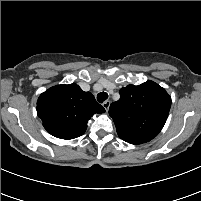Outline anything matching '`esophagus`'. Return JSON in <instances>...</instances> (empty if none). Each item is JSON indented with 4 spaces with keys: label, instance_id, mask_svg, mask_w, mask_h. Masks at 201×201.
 Returning <instances> with one entry per match:
<instances>
[{
    "label": "esophagus",
    "instance_id": "34e87169",
    "mask_svg": "<svg viewBox=\"0 0 201 201\" xmlns=\"http://www.w3.org/2000/svg\"><path fill=\"white\" fill-rule=\"evenodd\" d=\"M103 107L106 111L109 110V107H110V101L109 100H106L105 102H103Z\"/></svg>",
    "mask_w": 201,
    "mask_h": 201
}]
</instances>
